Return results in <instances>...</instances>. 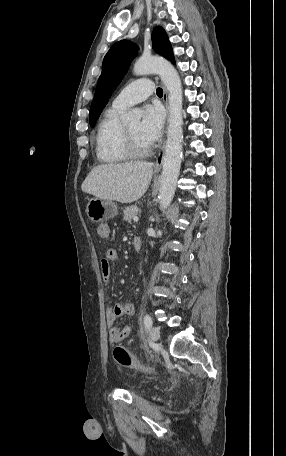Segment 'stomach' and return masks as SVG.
<instances>
[{
    "label": "stomach",
    "mask_w": 286,
    "mask_h": 456,
    "mask_svg": "<svg viewBox=\"0 0 286 456\" xmlns=\"http://www.w3.org/2000/svg\"><path fill=\"white\" fill-rule=\"evenodd\" d=\"M86 213L91 221L98 223L114 218L118 213V207L112 200L95 197L88 202Z\"/></svg>",
    "instance_id": "1"
}]
</instances>
